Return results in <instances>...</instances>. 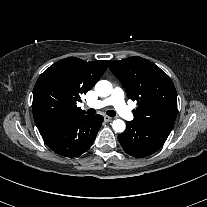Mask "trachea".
<instances>
[{
  "mask_svg": "<svg viewBox=\"0 0 207 207\" xmlns=\"http://www.w3.org/2000/svg\"><path fill=\"white\" fill-rule=\"evenodd\" d=\"M95 113H96V111L92 108L87 111L88 115H94ZM106 114L110 117H115L116 116V112L113 111V110L106 111Z\"/></svg>",
  "mask_w": 207,
  "mask_h": 207,
  "instance_id": "trachea-1",
  "label": "trachea"
}]
</instances>
